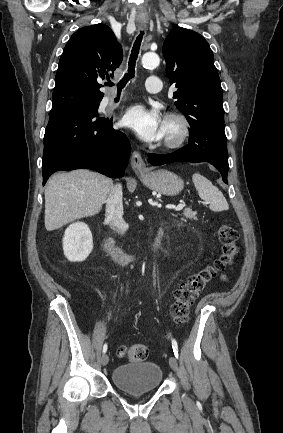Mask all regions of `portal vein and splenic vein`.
Wrapping results in <instances>:
<instances>
[{
	"label": "portal vein and splenic vein",
	"mask_w": 283,
	"mask_h": 433,
	"mask_svg": "<svg viewBox=\"0 0 283 433\" xmlns=\"http://www.w3.org/2000/svg\"><path fill=\"white\" fill-rule=\"evenodd\" d=\"M184 204H177V206H175V210H181V208H183Z\"/></svg>",
	"instance_id": "1"
}]
</instances>
